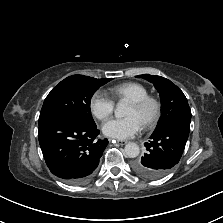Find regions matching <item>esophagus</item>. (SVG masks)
<instances>
[{
    "label": "esophagus",
    "instance_id": "34e87169",
    "mask_svg": "<svg viewBox=\"0 0 223 223\" xmlns=\"http://www.w3.org/2000/svg\"><path fill=\"white\" fill-rule=\"evenodd\" d=\"M111 141V140H110ZM117 142L118 144H120V145H124V144H126L127 143V141H125V140H112V142Z\"/></svg>",
    "mask_w": 223,
    "mask_h": 223
}]
</instances>
